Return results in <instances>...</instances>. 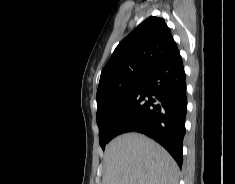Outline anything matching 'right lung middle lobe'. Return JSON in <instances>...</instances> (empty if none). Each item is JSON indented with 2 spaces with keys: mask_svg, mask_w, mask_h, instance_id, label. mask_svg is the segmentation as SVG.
Instances as JSON below:
<instances>
[{
  "mask_svg": "<svg viewBox=\"0 0 235 184\" xmlns=\"http://www.w3.org/2000/svg\"><path fill=\"white\" fill-rule=\"evenodd\" d=\"M142 79L129 81L121 86L109 89L98 104L97 124L99 127V141L102 149L116 136L113 129L126 105L140 88Z\"/></svg>",
  "mask_w": 235,
  "mask_h": 184,
  "instance_id": "1",
  "label": "right lung middle lobe"
}]
</instances>
